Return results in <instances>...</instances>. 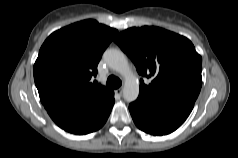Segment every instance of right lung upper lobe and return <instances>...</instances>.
Here are the masks:
<instances>
[{"instance_id": "cb5924a9", "label": "right lung upper lobe", "mask_w": 238, "mask_h": 158, "mask_svg": "<svg viewBox=\"0 0 238 158\" xmlns=\"http://www.w3.org/2000/svg\"><path fill=\"white\" fill-rule=\"evenodd\" d=\"M117 33L95 20L80 21L52 33L40 48L33 70L42 104L108 99L113 91L91 82V78Z\"/></svg>"}]
</instances>
